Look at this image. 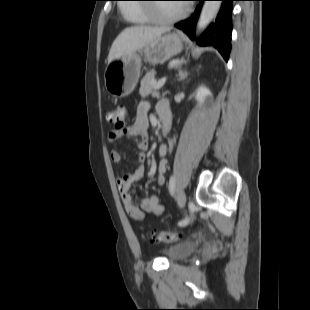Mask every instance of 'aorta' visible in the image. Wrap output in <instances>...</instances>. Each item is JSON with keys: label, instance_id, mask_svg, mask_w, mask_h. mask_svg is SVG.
<instances>
[{"label": "aorta", "instance_id": "obj_1", "mask_svg": "<svg viewBox=\"0 0 310 310\" xmlns=\"http://www.w3.org/2000/svg\"><path fill=\"white\" fill-rule=\"evenodd\" d=\"M221 5L220 1H205L203 8L201 10L198 22H197V31L200 32L204 30L209 23L212 21L216 12L218 11Z\"/></svg>", "mask_w": 310, "mask_h": 310}]
</instances>
